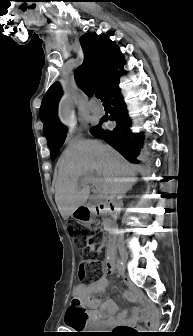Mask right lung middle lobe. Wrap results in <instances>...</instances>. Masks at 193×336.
<instances>
[{
    "mask_svg": "<svg viewBox=\"0 0 193 336\" xmlns=\"http://www.w3.org/2000/svg\"><path fill=\"white\" fill-rule=\"evenodd\" d=\"M96 129V128H95ZM94 129V130H95ZM66 133H62L58 136H56L55 138H53L52 140H50L48 143V147L51 151V160H55V158L57 157L59 150L64 142Z\"/></svg>",
    "mask_w": 193,
    "mask_h": 336,
    "instance_id": "obj_1",
    "label": "right lung middle lobe"
}]
</instances>
